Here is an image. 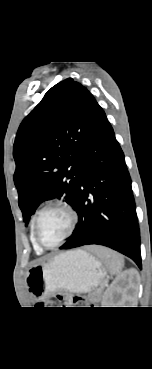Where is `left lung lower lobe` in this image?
<instances>
[{
  "label": "left lung lower lobe",
  "instance_id": "left-lung-lower-lobe-1",
  "mask_svg": "<svg viewBox=\"0 0 152 369\" xmlns=\"http://www.w3.org/2000/svg\"><path fill=\"white\" fill-rule=\"evenodd\" d=\"M76 191L78 223L60 249L98 244L130 257L141 268L140 231L124 154L102 108L81 157Z\"/></svg>",
  "mask_w": 152,
  "mask_h": 369
}]
</instances>
